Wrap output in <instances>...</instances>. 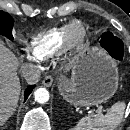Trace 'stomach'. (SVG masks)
I'll return each mask as SVG.
<instances>
[{"instance_id": "0dacf381", "label": "stomach", "mask_w": 130, "mask_h": 130, "mask_svg": "<svg viewBox=\"0 0 130 130\" xmlns=\"http://www.w3.org/2000/svg\"><path fill=\"white\" fill-rule=\"evenodd\" d=\"M62 97L75 106H92L108 101L118 88L116 63L98 48L82 51L71 79L59 84Z\"/></svg>"}]
</instances>
